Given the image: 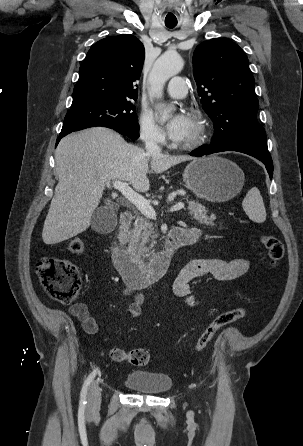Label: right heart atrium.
<instances>
[{
  "instance_id": "obj_1",
  "label": "right heart atrium",
  "mask_w": 303,
  "mask_h": 446,
  "mask_svg": "<svg viewBox=\"0 0 303 446\" xmlns=\"http://www.w3.org/2000/svg\"><path fill=\"white\" fill-rule=\"evenodd\" d=\"M139 132L142 141L147 145L157 146L165 142V136L161 127L149 112L141 113Z\"/></svg>"
}]
</instances>
